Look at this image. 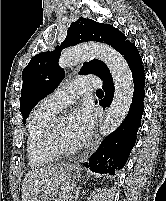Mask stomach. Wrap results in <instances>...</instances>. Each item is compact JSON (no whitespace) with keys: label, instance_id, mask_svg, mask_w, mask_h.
<instances>
[{"label":"stomach","instance_id":"1","mask_svg":"<svg viewBox=\"0 0 166 201\" xmlns=\"http://www.w3.org/2000/svg\"><path fill=\"white\" fill-rule=\"evenodd\" d=\"M76 167L68 165L61 167L58 171L42 186L37 201H49L57 194L61 185H68L75 175Z\"/></svg>","mask_w":166,"mask_h":201}]
</instances>
